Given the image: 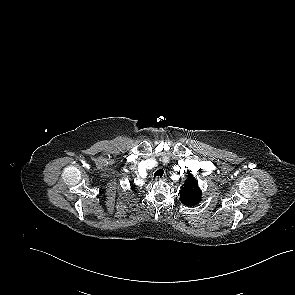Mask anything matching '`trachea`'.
Here are the masks:
<instances>
[{
  "label": "trachea",
  "mask_w": 295,
  "mask_h": 295,
  "mask_svg": "<svg viewBox=\"0 0 295 295\" xmlns=\"http://www.w3.org/2000/svg\"><path fill=\"white\" fill-rule=\"evenodd\" d=\"M163 173H164V171L162 169H159L154 173V176L155 177H157V176L162 177Z\"/></svg>",
  "instance_id": "3493384b"
}]
</instances>
